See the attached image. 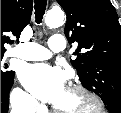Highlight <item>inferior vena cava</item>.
Instances as JSON below:
<instances>
[{"label":"inferior vena cava","mask_w":121,"mask_h":113,"mask_svg":"<svg viewBox=\"0 0 121 113\" xmlns=\"http://www.w3.org/2000/svg\"><path fill=\"white\" fill-rule=\"evenodd\" d=\"M25 106L19 104L12 107L11 113H34V108H32L30 111H24Z\"/></svg>","instance_id":"obj_1"}]
</instances>
